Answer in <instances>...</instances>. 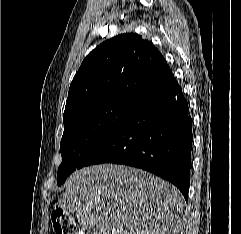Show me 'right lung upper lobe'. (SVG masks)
<instances>
[{"label":"right lung upper lobe","mask_w":241,"mask_h":234,"mask_svg":"<svg viewBox=\"0 0 241 234\" xmlns=\"http://www.w3.org/2000/svg\"><path fill=\"white\" fill-rule=\"evenodd\" d=\"M172 74L148 40L125 33L97 46L84 59L68 92L64 116L109 101L135 104Z\"/></svg>","instance_id":"cb5924a9"}]
</instances>
